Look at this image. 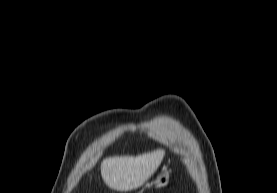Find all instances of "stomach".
Wrapping results in <instances>:
<instances>
[{
	"instance_id": "0dacf381",
	"label": "stomach",
	"mask_w": 277,
	"mask_h": 193,
	"mask_svg": "<svg viewBox=\"0 0 277 193\" xmlns=\"http://www.w3.org/2000/svg\"><path fill=\"white\" fill-rule=\"evenodd\" d=\"M170 172H171L170 170H167V168H164L156 177V179L151 183V185H154L157 188L165 187L169 182Z\"/></svg>"
}]
</instances>
